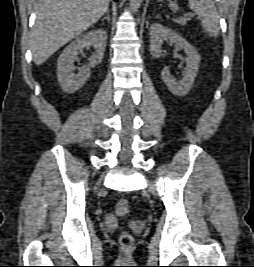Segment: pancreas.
Listing matches in <instances>:
<instances>
[{
  "instance_id": "cf45deb5",
  "label": "pancreas",
  "mask_w": 254,
  "mask_h": 267,
  "mask_svg": "<svg viewBox=\"0 0 254 267\" xmlns=\"http://www.w3.org/2000/svg\"><path fill=\"white\" fill-rule=\"evenodd\" d=\"M174 21L180 25H185L187 20L185 18H177Z\"/></svg>"
}]
</instances>
